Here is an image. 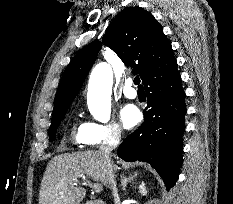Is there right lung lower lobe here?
Instances as JSON below:
<instances>
[{"instance_id": "obj_1", "label": "right lung lower lobe", "mask_w": 233, "mask_h": 204, "mask_svg": "<svg viewBox=\"0 0 233 204\" xmlns=\"http://www.w3.org/2000/svg\"><path fill=\"white\" fill-rule=\"evenodd\" d=\"M181 82L176 62L144 83L148 102L143 112L144 122L117 150L125 161L151 164L168 190L177 181L182 163L187 110Z\"/></svg>"}]
</instances>
